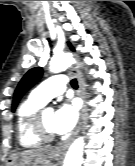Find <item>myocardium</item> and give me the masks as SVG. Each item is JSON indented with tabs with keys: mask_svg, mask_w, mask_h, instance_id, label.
<instances>
[{
	"mask_svg": "<svg viewBox=\"0 0 135 166\" xmlns=\"http://www.w3.org/2000/svg\"><path fill=\"white\" fill-rule=\"evenodd\" d=\"M46 109L41 108L33 114L30 119V128L33 134L42 142H51L55 139V134L49 132L43 122V115Z\"/></svg>",
	"mask_w": 135,
	"mask_h": 166,
	"instance_id": "1",
	"label": "myocardium"
}]
</instances>
